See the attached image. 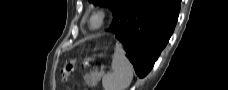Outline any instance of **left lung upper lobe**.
<instances>
[{
  "instance_id": "5c2ea615",
  "label": "left lung upper lobe",
  "mask_w": 228,
  "mask_h": 90,
  "mask_svg": "<svg viewBox=\"0 0 228 90\" xmlns=\"http://www.w3.org/2000/svg\"><path fill=\"white\" fill-rule=\"evenodd\" d=\"M129 1L130 0H89V2H92L93 4L110 7L114 14L113 22L127 7Z\"/></svg>"
}]
</instances>
